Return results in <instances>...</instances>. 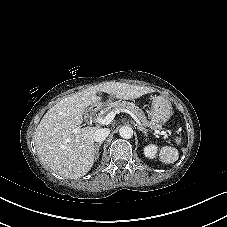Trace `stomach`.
<instances>
[{
    "mask_svg": "<svg viewBox=\"0 0 227 227\" xmlns=\"http://www.w3.org/2000/svg\"><path fill=\"white\" fill-rule=\"evenodd\" d=\"M172 110V105L167 98L157 96L152 100L149 116L155 123L162 124L171 117Z\"/></svg>",
    "mask_w": 227,
    "mask_h": 227,
    "instance_id": "obj_1",
    "label": "stomach"
}]
</instances>
